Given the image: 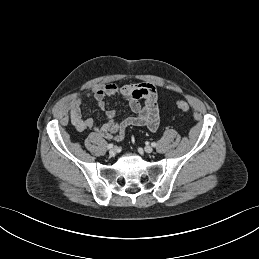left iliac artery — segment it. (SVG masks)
<instances>
[{
	"label": "left iliac artery",
	"instance_id": "1",
	"mask_svg": "<svg viewBox=\"0 0 259 259\" xmlns=\"http://www.w3.org/2000/svg\"><path fill=\"white\" fill-rule=\"evenodd\" d=\"M151 145H152L153 147H155V146H156V143H155V142H152Z\"/></svg>",
	"mask_w": 259,
	"mask_h": 259
}]
</instances>
